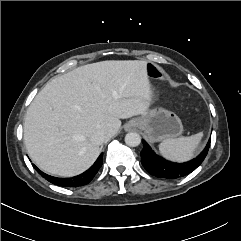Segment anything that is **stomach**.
<instances>
[{"label": "stomach", "instance_id": "obj_1", "mask_svg": "<svg viewBox=\"0 0 241 241\" xmlns=\"http://www.w3.org/2000/svg\"><path fill=\"white\" fill-rule=\"evenodd\" d=\"M131 126L144 131L152 142L173 139L183 133L180 118L174 112L164 108L147 110L141 116L133 118L126 127L130 128Z\"/></svg>", "mask_w": 241, "mask_h": 241}]
</instances>
